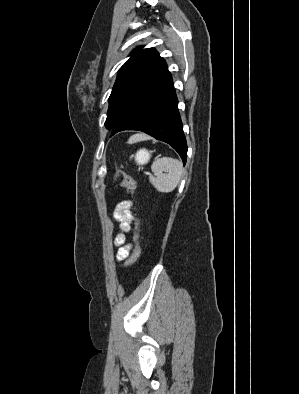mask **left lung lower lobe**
<instances>
[{
  "instance_id": "0a47b994",
  "label": "left lung lower lobe",
  "mask_w": 299,
  "mask_h": 394,
  "mask_svg": "<svg viewBox=\"0 0 299 394\" xmlns=\"http://www.w3.org/2000/svg\"><path fill=\"white\" fill-rule=\"evenodd\" d=\"M123 130L143 131L171 145L186 163L187 144L178 111L171 74L166 70L133 103L112 129V136Z\"/></svg>"
}]
</instances>
